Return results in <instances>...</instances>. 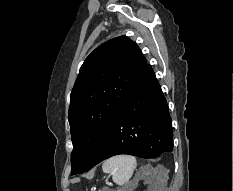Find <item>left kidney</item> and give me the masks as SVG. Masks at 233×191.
<instances>
[{
	"label": "left kidney",
	"instance_id": "obj_1",
	"mask_svg": "<svg viewBox=\"0 0 233 191\" xmlns=\"http://www.w3.org/2000/svg\"><path fill=\"white\" fill-rule=\"evenodd\" d=\"M141 178L149 180V178L147 176H142ZM155 181H156V183L152 185V187H151L152 190H150V191H162L161 185H162L163 181L160 179L159 175L155 177Z\"/></svg>",
	"mask_w": 233,
	"mask_h": 191
}]
</instances>
